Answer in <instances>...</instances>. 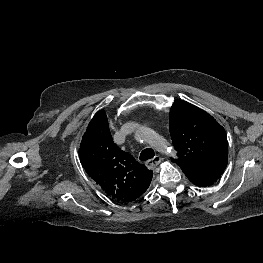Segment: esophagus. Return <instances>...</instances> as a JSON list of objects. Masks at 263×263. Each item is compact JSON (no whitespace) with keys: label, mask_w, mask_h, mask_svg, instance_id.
Instances as JSON below:
<instances>
[{"label":"esophagus","mask_w":263,"mask_h":263,"mask_svg":"<svg viewBox=\"0 0 263 263\" xmlns=\"http://www.w3.org/2000/svg\"><path fill=\"white\" fill-rule=\"evenodd\" d=\"M162 161V158L160 156H155L152 159H149L148 161H146V166L149 169H153L155 168L158 164H160Z\"/></svg>","instance_id":"obj_1"}]
</instances>
